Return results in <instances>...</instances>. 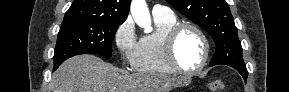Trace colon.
<instances>
[{
	"label": "colon",
	"mask_w": 289,
	"mask_h": 92,
	"mask_svg": "<svg viewBox=\"0 0 289 92\" xmlns=\"http://www.w3.org/2000/svg\"><path fill=\"white\" fill-rule=\"evenodd\" d=\"M225 88V83L223 80L218 79L209 83L210 91H223Z\"/></svg>",
	"instance_id": "1"
}]
</instances>
